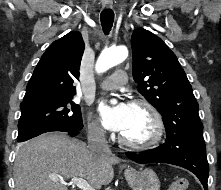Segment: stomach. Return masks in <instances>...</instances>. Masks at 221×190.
<instances>
[{
	"instance_id": "obj_1",
	"label": "stomach",
	"mask_w": 221,
	"mask_h": 190,
	"mask_svg": "<svg viewBox=\"0 0 221 190\" xmlns=\"http://www.w3.org/2000/svg\"><path fill=\"white\" fill-rule=\"evenodd\" d=\"M125 178L133 190H159L160 181L156 173L151 169L136 171L125 170Z\"/></svg>"
}]
</instances>
